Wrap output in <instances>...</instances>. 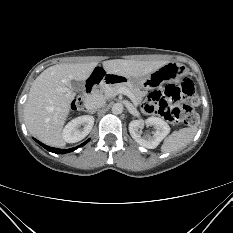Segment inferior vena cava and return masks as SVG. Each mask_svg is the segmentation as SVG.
<instances>
[{"label": "inferior vena cava", "mask_w": 233, "mask_h": 233, "mask_svg": "<svg viewBox=\"0 0 233 233\" xmlns=\"http://www.w3.org/2000/svg\"><path fill=\"white\" fill-rule=\"evenodd\" d=\"M105 103H106L105 98L98 94H90L85 98L84 101L86 109L90 111H95L103 107Z\"/></svg>", "instance_id": "obj_1"}]
</instances>
